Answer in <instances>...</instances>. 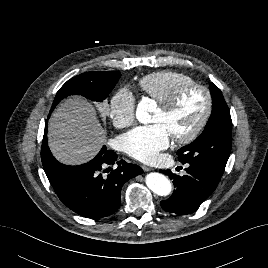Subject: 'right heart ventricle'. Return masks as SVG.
Listing matches in <instances>:
<instances>
[{
	"mask_svg": "<svg viewBox=\"0 0 268 268\" xmlns=\"http://www.w3.org/2000/svg\"><path fill=\"white\" fill-rule=\"evenodd\" d=\"M189 76L174 70L150 73L138 82L139 88L158 104L165 103L181 86L192 83Z\"/></svg>",
	"mask_w": 268,
	"mask_h": 268,
	"instance_id": "right-heart-ventricle-1",
	"label": "right heart ventricle"
}]
</instances>
